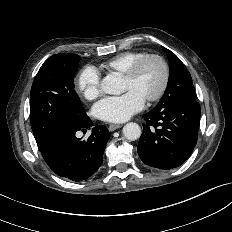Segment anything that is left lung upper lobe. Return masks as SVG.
Masks as SVG:
<instances>
[{
  "label": "left lung upper lobe",
  "mask_w": 232,
  "mask_h": 232,
  "mask_svg": "<svg viewBox=\"0 0 232 232\" xmlns=\"http://www.w3.org/2000/svg\"><path fill=\"white\" fill-rule=\"evenodd\" d=\"M169 59L170 75L165 93L155 108H162L179 99L196 101L192 78L181 60L170 50L163 48Z\"/></svg>",
  "instance_id": "5c2ea615"
}]
</instances>
